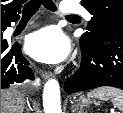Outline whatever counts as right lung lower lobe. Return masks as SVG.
I'll use <instances>...</instances> for the list:
<instances>
[{
	"label": "right lung lower lobe",
	"instance_id": "98d812e1",
	"mask_svg": "<svg viewBox=\"0 0 123 113\" xmlns=\"http://www.w3.org/2000/svg\"><path fill=\"white\" fill-rule=\"evenodd\" d=\"M17 18L1 19V89L9 88L12 84L21 83L25 79H33L29 62L23 57L20 45L15 43L10 47L2 38L3 32Z\"/></svg>",
	"mask_w": 123,
	"mask_h": 113
}]
</instances>
